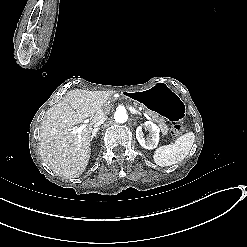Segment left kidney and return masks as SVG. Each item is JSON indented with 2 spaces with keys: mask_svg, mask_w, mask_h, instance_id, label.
Instances as JSON below:
<instances>
[{
  "mask_svg": "<svg viewBox=\"0 0 247 247\" xmlns=\"http://www.w3.org/2000/svg\"><path fill=\"white\" fill-rule=\"evenodd\" d=\"M143 127L149 131L150 138L145 139L143 133ZM160 128L151 121H146L143 126H138L136 129V138L139 144L148 150L154 149L159 143Z\"/></svg>",
  "mask_w": 247,
  "mask_h": 247,
  "instance_id": "obj_1",
  "label": "left kidney"
}]
</instances>
